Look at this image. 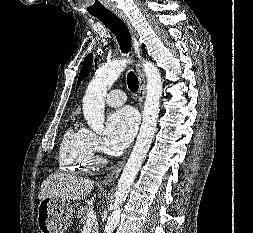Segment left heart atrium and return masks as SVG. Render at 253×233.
<instances>
[{"label": "left heart atrium", "mask_w": 253, "mask_h": 233, "mask_svg": "<svg viewBox=\"0 0 253 233\" xmlns=\"http://www.w3.org/2000/svg\"><path fill=\"white\" fill-rule=\"evenodd\" d=\"M137 126V115L130 108H123L110 114L105 130L107 146L113 150L124 149L133 139Z\"/></svg>", "instance_id": "left-heart-atrium-1"}]
</instances>
